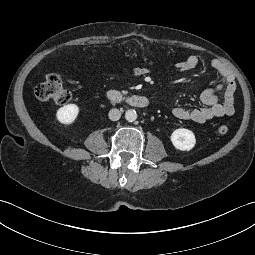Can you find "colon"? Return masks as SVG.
I'll return each instance as SVG.
<instances>
[{"mask_svg":"<svg viewBox=\"0 0 255 255\" xmlns=\"http://www.w3.org/2000/svg\"><path fill=\"white\" fill-rule=\"evenodd\" d=\"M35 96L41 101L56 104H66L71 98V94L66 88L63 78L57 73L48 74L44 81L36 86ZM228 130L226 125H221L217 129L220 135H225Z\"/></svg>","mask_w":255,"mask_h":255,"instance_id":"obj_1","label":"colon"}]
</instances>
